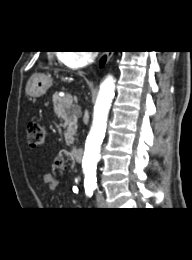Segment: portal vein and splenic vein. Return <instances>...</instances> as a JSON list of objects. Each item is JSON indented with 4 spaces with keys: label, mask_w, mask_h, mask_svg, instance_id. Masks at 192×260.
I'll return each instance as SVG.
<instances>
[{
    "label": "portal vein and splenic vein",
    "mask_w": 192,
    "mask_h": 260,
    "mask_svg": "<svg viewBox=\"0 0 192 260\" xmlns=\"http://www.w3.org/2000/svg\"><path fill=\"white\" fill-rule=\"evenodd\" d=\"M65 102H66V104H67L68 106H71V105H72V103H73V98H72V96H71L70 94H67V95L65 96Z\"/></svg>",
    "instance_id": "obj_1"
}]
</instances>
